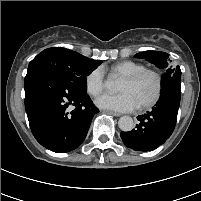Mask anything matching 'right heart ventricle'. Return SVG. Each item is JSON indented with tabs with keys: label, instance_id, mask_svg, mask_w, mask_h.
Masks as SVG:
<instances>
[{
	"label": "right heart ventricle",
	"instance_id": "1",
	"mask_svg": "<svg viewBox=\"0 0 201 201\" xmlns=\"http://www.w3.org/2000/svg\"><path fill=\"white\" fill-rule=\"evenodd\" d=\"M145 65L139 62L125 60L118 62L110 67V71L122 77L134 74L145 69Z\"/></svg>",
	"mask_w": 201,
	"mask_h": 201
}]
</instances>
